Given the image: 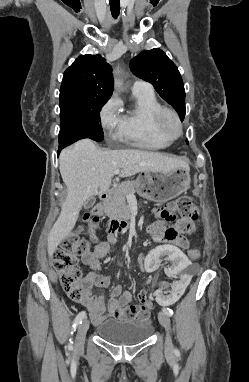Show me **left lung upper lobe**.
<instances>
[{"label": "left lung upper lobe", "instance_id": "5c2ea615", "mask_svg": "<svg viewBox=\"0 0 249 382\" xmlns=\"http://www.w3.org/2000/svg\"><path fill=\"white\" fill-rule=\"evenodd\" d=\"M130 69L137 77L150 82L159 95L185 117V90L175 64L160 49L143 51L130 61Z\"/></svg>", "mask_w": 249, "mask_h": 382}]
</instances>
